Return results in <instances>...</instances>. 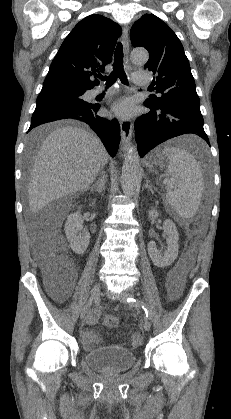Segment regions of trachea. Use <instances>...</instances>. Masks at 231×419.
I'll return each mask as SVG.
<instances>
[{
  "instance_id": "3493384b",
  "label": "trachea",
  "mask_w": 231,
  "mask_h": 419,
  "mask_svg": "<svg viewBox=\"0 0 231 419\" xmlns=\"http://www.w3.org/2000/svg\"><path fill=\"white\" fill-rule=\"evenodd\" d=\"M97 77L106 81L107 87L113 85L117 78H119L122 83L127 84V78L123 68V47L121 43H118L114 52L113 71L109 76L97 75Z\"/></svg>"
}]
</instances>
